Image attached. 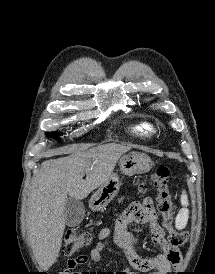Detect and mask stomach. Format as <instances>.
<instances>
[{"label": "stomach", "mask_w": 215, "mask_h": 274, "mask_svg": "<svg viewBox=\"0 0 215 274\" xmlns=\"http://www.w3.org/2000/svg\"><path fill=\"white\" fill-rule=\"evenodd\" d=\"M121 172L127 176L143 174L152 167V160L149 156L139 152H132L123 155L119 160ZM121 186L119 176L113 173L111 177L100 186L90 199V207L94 211L104 209L117 195Z\"/></svg>", "instance_id": "stomach-1"}]
</instances>
